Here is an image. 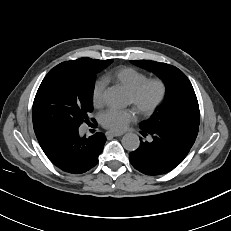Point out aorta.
Instances as JSON below:
<instances>
[{"mask_svg":"<svg viewBox=\"0 0 231 231\" xmlns=\"http://www.w3.org/2000/svg\"><path fill=\"white\" fill-rule=\"evenodd\" d=\"M104 100L107 105L114 108H123L126 106L124 95L117 89H110L104 94ZM122 145L128 151H135L140 145L137 134L127 133L122 138Z\"/></svg>","mask_w":231,"mask_h":231,"instance_id":"762f6f07","label":"aorta"}]
</instances>
